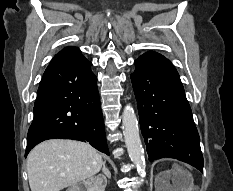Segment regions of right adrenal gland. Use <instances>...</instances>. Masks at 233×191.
Wrapping results in <instances>:
<instances>
[{"label": "right adrenal gland", "mask_w": 233, "mask_h": 191, "mask_svg": "<svg viewBox=\"0 0 233 191\" xmlns=\"http://www.w3.org/2000/svg\"><path fill=\"white\" fill-rule=\"evenodd\" d=\"M102 173L105 175L104 178L106 179V177L108 179L111 178V173L108 170V168L106 167V161L103 162V168H102ZM106 184H107V179H106Z\"/></svg>", "instance_id": "right-adrenal-gland-1"}]
</instances>
